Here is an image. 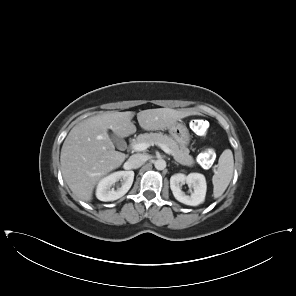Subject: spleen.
<instances>
[{
	"label": "spleen",
	"mask_w": 296,
	"mask_h": 296,
	"mask_svg": "<svg viewBox=\"0 0 296 296\" xmlns=\"http://www.w3.org/2000/svg\"><path fill=\"white\" fill-rule=\"evenodd\" d=\"M234 169L233 153L230 149H226L219 157L217 169L212 177L213 196L219 198L227 189Z\"/></svg>",
	"instance_id": "1"
}]
</instances>
